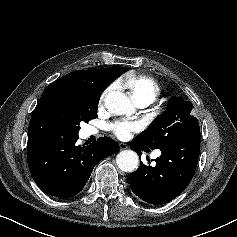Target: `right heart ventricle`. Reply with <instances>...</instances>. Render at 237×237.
I'll return each instance as SVG.
<instances>
[{"instance_id": "right-heart-ventricle-1", "label": "right heart ventricle", "mask_w": 237, "mask_h": 237, "mask_svg": "<svg viewBox=\"0 0 237 237\" xmlns=\"http://www.w3.org/2000/svg\"><path fill=\"white\" fill-rule=\"evenodd\" d=\"M123 87L129 89L137 104L152 103L161 93V87L152 77L146 75H126L120 80Z\"/></svg>"}]
</instances>
